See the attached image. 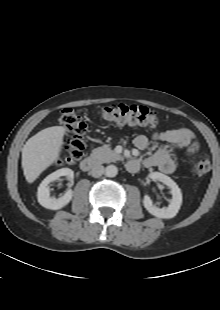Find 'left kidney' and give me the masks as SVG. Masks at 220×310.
<instances>
[{"instance_id":"obj_1","label":"left kidney","mask_w":220,"mask_h":310,"mask_svg":"<svg viewBox=\"0 0 220 310\" xmlns=\"http://www.w3.org/2000/svg\"><path fill=\"white\" fill-rule=\"evenodd\" d=\"M149 178H151L154 181H160L167 185L172 194V198L169 200V205L167 208H158L155 205H153L152 200L148 195L144 196L143 199V205L146 208V210L158 217V218H164V219H170L176 216L178 213L181 205H182V193L178 185L168 176L160 173V172H153L149 174Z\"/></svg>"}]
</instances>
